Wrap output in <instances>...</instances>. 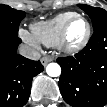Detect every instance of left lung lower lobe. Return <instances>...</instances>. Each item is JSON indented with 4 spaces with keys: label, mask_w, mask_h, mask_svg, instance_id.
<instances>
[{
    "label": "left lung lower lobe",
    "mask_w": 107,
    "mask_h": 107,
    "mask_svg": "<svg viewBox=\"0 0 107 107\" xmlns=\"http://www.w3.org/2000/svg\"><path fill=\"white\" fill-rule=\"evenodd\" d=\"M57 62L62 68L59 88L65 102L73 107L107 104V24L94 30L81 52Z\"/></svg>",
    "instance_id": "obj_1"
}]
</instances>
